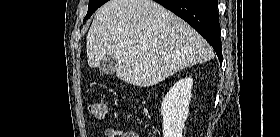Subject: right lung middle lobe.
<instances>
[{
    "label": "right lung middle lobe",
    "instance_id": "dd1d6c3e",
    "mask_svg": "<svg viewBox=\"0 0 280 137\" xmlns=\"http://www.w3.org/2000/svg\"><path fill=\"white\" fill-rule=\"evenodd\" d=\"M108 0H90L89 1V8L87 15L84 18V21L88 19L100 6L106 3Z\"/></svg>",
    "mask_w": 280,
    "mask_h": 137
}]
</instances>
